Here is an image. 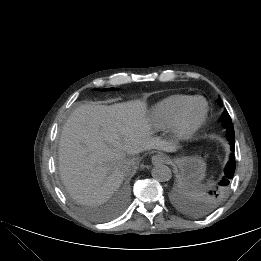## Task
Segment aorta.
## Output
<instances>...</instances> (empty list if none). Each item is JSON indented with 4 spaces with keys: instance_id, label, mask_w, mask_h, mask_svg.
<instances>
[{
    "instance_id": "obj_1",
    "label": "aorta",
    "mask_w": 261,
    "mask_h": 261,
    "mask_svg": "<svg viewBox=\"0 0 261 261\" xmlns=\"http://www.w3.org/2000/svg\"><path fill=\"white\" fill-rule=\"evenodd\" d=\"M152 177L159 182L169 181L172 177L170 168L164 164H158L152 169Z\"/></svg>"
}]
</instances>
